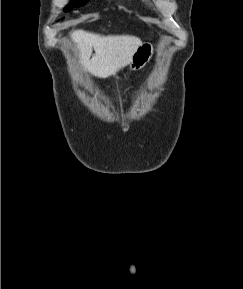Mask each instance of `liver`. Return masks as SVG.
I'll return each mask as SVG.
<instances>
[{
    "label": "liver",
    "instance_id": "1",
    "mask_svg": "<svg viewBox=\"0 0 243 289\" xmlns=\"http://www.w3.org/2000/svg\"><path fill=\"white\" fill-rule=\"evenodd\" d=\"M71 39L79 50L84 70L100 78L115 75L126 67L142 44L141 39L131 35L104 36L84 30L73 31ZM93 49L95 54L90 59Z\"/></svg>",
    "mask_w": 243,
    "mask_h": 289
}]
</instances>
